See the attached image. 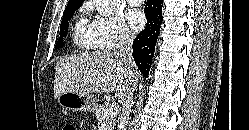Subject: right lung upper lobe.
Segmentation results:
<instances>
[{"label": "right lung upper lobe", "instance_id": "cb5924a9", "mask_svg": "<svg viewBox=\"0 0 249 130\" xmlns=\"http://www.w3.org/2000/svg\"><path fill=\"white\" fill-rule=\"evenodd\" d=\"M83 1L84 0H69L68 5H70V4H79L81 6Z\"/></svg>", "mask_w": 249, "mask_h": 130}]
</instances>
